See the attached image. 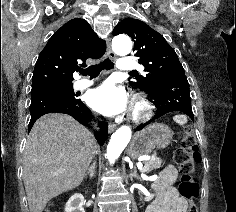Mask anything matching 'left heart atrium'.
<instances>
[{
  "label": "left heart atrium",
  "instance_id": "39dd6f15",
  "mask_svg": "<svg viewBox=\"0 0 236 212\" xmlns=\"http://www.w3.org/2000/svg\"><path fill=\"white\" fill-rule=\"evenodd\" d=\"M89 105L105 116H116L128 107V96L122 87L107 81L91 91L88 97Z\"/></svg>",
  "mask_w": 236,
  "mask_h": 212
}]
</instances>
